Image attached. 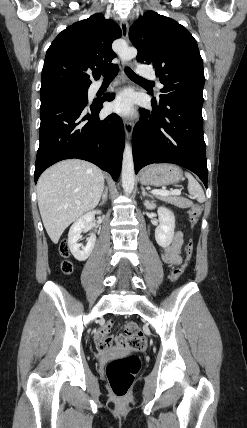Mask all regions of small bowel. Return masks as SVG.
Segmentation results:
<instances>
[{
	"mask_svg": "<svg viewBox=\"0 0 247 428\" xmlns=\"http://www.w3.org/2000/svg\"><path fill=\"white\" fill-rule=\"evenodd\" d=\"M183 234L174 232L172 242L163 246L162 259L170 266H176L180 262V253L183 246Z\"/></svg>",
	"mask_w": 247,
	"mask_h": 428,
	"instance_id": "1",
	"label": "small bowel"
}]
</instances>
